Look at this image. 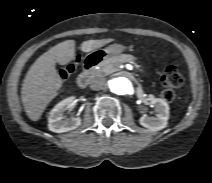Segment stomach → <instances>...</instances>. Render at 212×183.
<instances>
[{
	"instance_id": "obj_1",
	"label": "stomach",
	"mask_w": 212,
	"mask_h": 183,
	"mask_svg": "<svg viewBox=\"0 0 212 183\" xmlns=\"http://www.w3.org/2000/svg\"><path fill=\"white\" fill-rule=\"evenodd\" d=\"M126 47L121 44H111L103 50L104 57H112L124 52Z\"/></svg>"
}]
</instances>
